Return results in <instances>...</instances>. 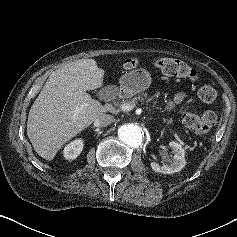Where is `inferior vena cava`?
<instances>
[{
  "label": "inferior vena cava",
  "instance_id": "inferior-vena-cava-1",
  "mask_svg": "<svg viewBox=\"0 0 237 237\" xmlns=\"http://www.w3.org/2000/svg\"><path fill=\"white\" fill-rule=\"evenodd\" d=\"M114 117L109 114H102L94 121L95 127H105L114 122Z\"/></svg>",
  "mask_w": 237,
  "mask_h": 237
}]
</instances>
